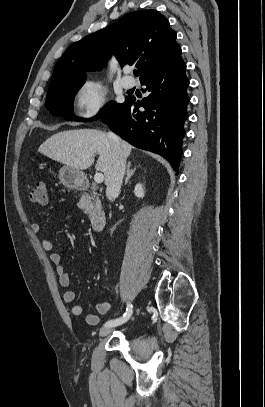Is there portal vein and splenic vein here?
Wrapping results in <instances>:
<instances>
[{
  "instance_id": "18ae733b",
  "label": "portal vein and splenic vein",
  "mask_w": 265,
  "mask_h": 407,
  "mask_svg": "<svg viewBox=\"0 0 265 407\" xmlns=\"http://www.w3.org/2000/svg\"><path fill=\"white\" fill-rule=\"evenodd\" d=\"M103 180H104V176H103L102 173H96V174L94 175V181H95V183L100 184V183L103 182Z\"/></svg>"
}]
</instances>
